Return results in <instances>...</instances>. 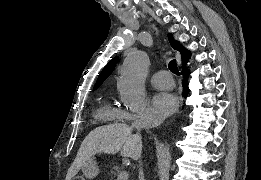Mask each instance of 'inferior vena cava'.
<instances>
[{
    "mask_svg": "<svg viewBox=\"0 0 261 180\" xmlns=\"http://www.w3.org/2000/svg\"><path fill=\"white\" fill-rule=\"evenodd\" d=\"M137 128H141V122H139V124H137ZM140 158H141V154H140V156H136V158H134V160H140ZM142 174H143L142 168H139V176H140V178H142Z\"/></svg>",
    "mask_w": 261,
    "mask_h": 180,
    "instance_id": "obj_1",
    "label": "inferior vena cava"
}]
</instances>
